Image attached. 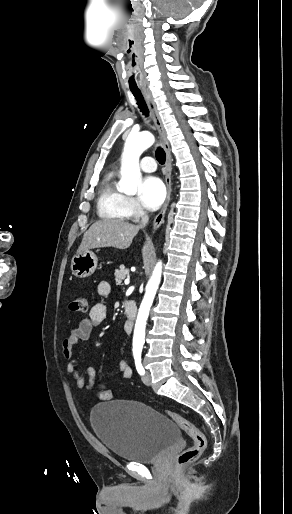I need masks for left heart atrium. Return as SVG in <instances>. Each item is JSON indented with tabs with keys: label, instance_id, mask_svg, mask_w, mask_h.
<instances>
[{
	"label": "left heart atrium",
	"instance_id": "1",
	"mask_svg": "<svg viewBox=\"0 0 292 514\" xmlns=\"http://www.w3.org/2000/svg\"><path fill=\"white\" fill-rule=\"evenodd\" d=\"M165 197V186L157 176L145 177L140 184L138 202L146 210H156Z\"/></svg>",
	"mask_w": 292,
	"mask_h": 514
}]
</instances>
